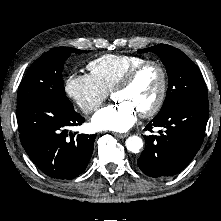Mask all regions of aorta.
I'll list each match as a JSON object with an SVG mask.
<instances>
[{
  "label": "aorta",
  "mask_w": 221,
  "mask_h": 221,
  "mask_svg": "<svg viewBox=\"0 0 221 221\" xmlns=\"http://www.w3.org/2000/svg\"><path fill=\"white\" fill-rule=\"evenodd\" d=\"M143 147V141L138 136H130L126 140V148L132 153H138Z\"/></svg>",
  "instance_id": "1"
}]
</instances>
